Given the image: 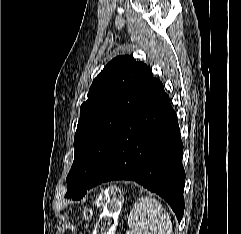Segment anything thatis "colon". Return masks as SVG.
<instances>
[{
    "label": "colon",
    "mask_w": 241,
    "mask_h": 234,
    "mask_svg": "<svg viewBox=\"0 0 241 234\" xmlns=\"http://www.w3.org/2000/svg\"><path fill=\"white\" fill-rule=\"evenodd\" d=\"M98 204L102 206L103 212L95 229V234H113L115 219L120 210L121 195L118 189L109 188L98 197ZM85 216L89 217L90 212L86 211Z\"/></svg>",
    "instance_id": "colon-1"
}]
</instances>
